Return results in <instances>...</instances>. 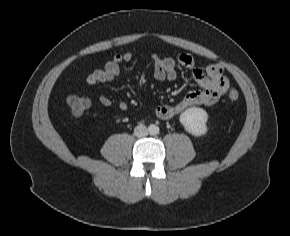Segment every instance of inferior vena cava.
<instances>
[{
	"instance_id": "1",
	"label": "inferior vena cava",
	"mask_w": 290,
	"mask_h": 236,
	"mask_svg": "<svg viewBox=\"0 0 290 236\" xmlns=\"http://www.w3.org/2000/svg\"><path fill=\"white\" fill-rule=\"evenodd\" d=\"M134 135L137 137H144L148 135V129L145 125L140 124L134 129Z\"/></svg>"
}]
</instances>
